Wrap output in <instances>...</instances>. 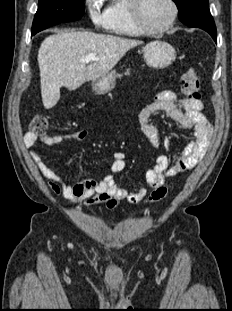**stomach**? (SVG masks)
Listing matches in <instances>:
<instances>
[{"mask_svg": "<svg viewBox=\"0 0 232 311\" xmlns=\"http://www.w3.org/2000/svg\"><path fill=\"white\" fill-rule=\"evenodd\" d=\"M144 60L149 67L155 69L166 68L176 59V51L169 43L156 40L148 43L144 49ZM92 90L99 95L110 92L115 87V72L94 79L91 82Z\"/></svg>", "mask_w": 232, "mask_h": 311, "instance_id": "0dacf381", "label": "stomach"}]
</instances>
